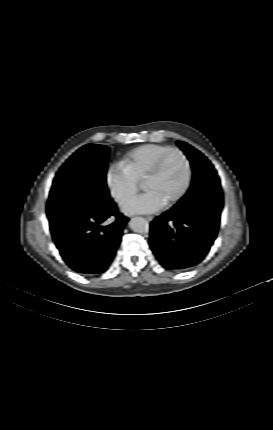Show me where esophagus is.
Wrapping results in <instances>:
<instances>
[{"label":"esophagus","mask_w":273,"mask_h":430,"mask_svg":"<svg viewBox=\"0 0 273 430\" xmlns=\"http://www.w3.org/2000/svg\"><path fill=\"white\" fill-rule=\"evenodd\" d=\"M145 218H146V220H148V221H152V220H153V217H152V216H146Z\"/></svg>","instance_id":"obj_1"}]
</instances>
